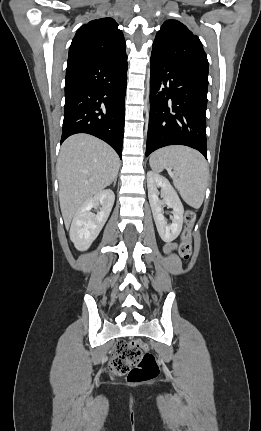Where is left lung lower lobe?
Returning a JSON list of instances; mask_svg holds the SVG:
<instances>
[{"label": "left lung lower lobe", "instance_id": "left-lung-lower-lobe-1", "mask_svg": "<svg viewBox=\"0 0 261 431\" xmlns=\"http://www.w3.org/2000/svg\"><path fill=\"white\" fill-rule=\"evenodd\" d=\"M150 75L146 156L164 146L185 145L207 159L208 74L152 53Z\"/></svg>", "mask_w": 261, "mask_h": 431}]
</instances>
